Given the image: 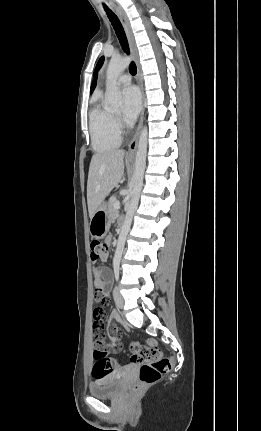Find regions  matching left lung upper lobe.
<instances>
[{
    "mask_svg": "<svg viewBox=\"0 0 261 431\" xmlns=\"http://www.w3.org/2000/svg\"><path fill=\"white\" fill-rule=\"evenodd\" d=\"M103 62H104V57H101V58L99 59L98 63H97V66H96V68H95L94 73H96V72L101 68V66H102Z\"/></svg>",
    "mask_w": 261,
    "mask_h": 431,
    "instance_id": "1",
    "label": "left lung upper lobe"
}]
</instances>
